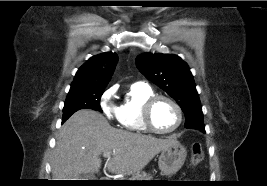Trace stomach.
<instances>
[{
  "mask_svg": "<svg viewBox=\"0 0 267 186\" xmlns=\"http://www.w3.org/2000/svg\"><path fill=\"white\" fill-rule=\"evenodd\" d=\"M187 151L178 141L163 149L158 158V165L161 173L171 177L183 166Z\"/></svg>",
  "mask_w": 267,
  "mask_h": 186,
  "instance_id": "0dacf381",
  "label": "stomach"
}]
</instances>
